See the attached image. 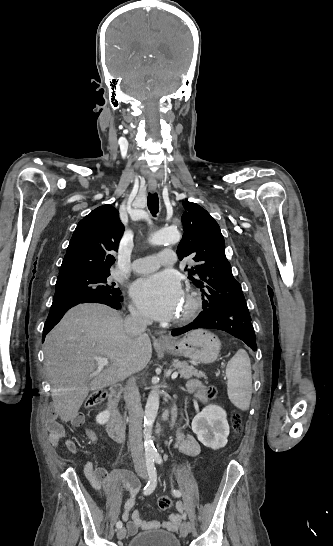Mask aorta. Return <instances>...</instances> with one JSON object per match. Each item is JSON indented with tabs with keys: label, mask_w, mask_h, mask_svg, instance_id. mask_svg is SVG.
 Masks as SVG:
<instances>
[{
	"label": "aorta",
	"mask_w": 333,
	"mask_h": 546,
	"mask_svg": "<svg viewBox=\"0 0 333 546\" xmlns=\"http://www.w3.org/2000/svg\"><path fill=\"white\" fill-rule=\"evenodd\" d=\"M181 235L176 229H161L152 234L149 242L154 245H162L165 243H177L180 241ZM159 389L154 387L147 399L144 413V449L147 455H152L157 452L152 440V428L159 409Z\"/></svg>",
	"instance_id": "762f6f07"
}]
</instances>
